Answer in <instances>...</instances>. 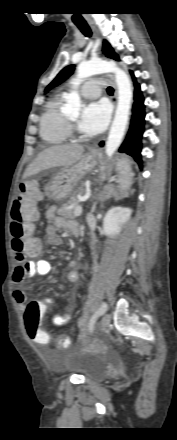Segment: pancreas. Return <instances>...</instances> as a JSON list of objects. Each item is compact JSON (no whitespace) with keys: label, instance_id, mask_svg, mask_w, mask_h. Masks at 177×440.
<instances>
[{"label":"pancreas","instance_id":"pancreas-1","mask_svg":"<svg viewBox=\"0 0 177 440\" xmlns=\"http://www.w3.org/2000/svg\"><path fill=\"white\" fill-rule=\"evenodd\" d=\"M73 201L68 204H64L62 208L57 211V214L66 219H75V209L78 207V201L75 200V196H73ZM73 204L75 206L71 207Z\"/></svg>","mask_w":177,"mask_h":440}]
</instances>
